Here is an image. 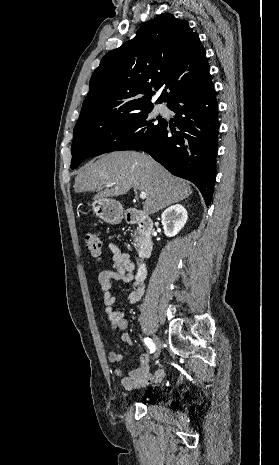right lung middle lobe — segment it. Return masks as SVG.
<instances>
[{
    "instance_id": "right-lung-middle-lobe-1",
    "label": "right lung middle lobe",
    "mask_w": 279,
    "mask_h": 465,
    "mask_svg": "<svg viewBox=\"0 0 279 465\" xmlns=\"http://www.w3.org/2000/svg\"><path fill=\"white\" fill-rule=\"evenodd\" d=\"M153 107L113 118L99 125L74 127L71 169H75L87 157L123 150L127 146H141L151 142L160 133L165 120L152 119Z\"/></svg>"
}]
</instances>
